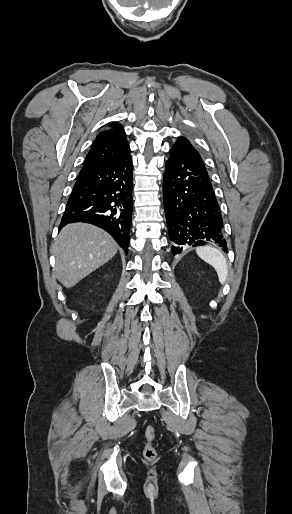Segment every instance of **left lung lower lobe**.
<instances>
[{"label": "left lung lower lobe", "instance_id": "1", "mask_svg": "<svg viewBox=\"0 0 292 514\" xmlns=\"http://www.w3.org/2000/svg\"><path fill=\"white\" fill-rule=\"evenodd\" d=\"M163 201L173 255L187 245L210 243L227 252L222 215L207 169L189 140H177L170 149Z\"/></svg>", "mask_w": 292, "mask_h": 514}]
</instances>
